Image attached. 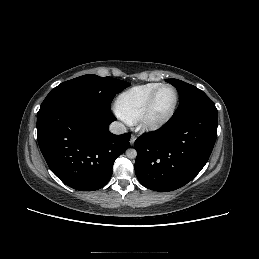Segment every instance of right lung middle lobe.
Masks as SVG:
<instances>
[{
	"mask_svg": "<svg viewBox=\"0 0 259 259\" xmlns=\"http://www.w3.org/2000/svg\"><path fill=\"white\" fill-rule=\"evenodd\" d=\"M130 83L97 75H83L61 83L51 90L40 106V110L60 100L79 99L110 109L114 96Z\"/></svg>",
	"mask_w": 259,
	"mask_h": 259,
	"instance_id": "obj_1",
	"label": "right lung middle lobe"
}]
</instances>
